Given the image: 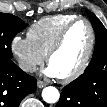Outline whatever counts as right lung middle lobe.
Wrapping results in <instances>:
<instances>
[{
  "label": "right lung middle lobe",
  "instance_id": "obj_1",
  "mask_svg": "<svg viewBox=\"0 0 107 107\" xmlns=\"http://www.w3.org/2000/svg\"><path fill=\"white\" fill-rule=\"evenodd\" d=\"M27 25L20 18L12 14L0 13V60H11V41Z\"/></svg>",
  "mask_w": 107,
  "mask_h": 107
}]
</instances>
